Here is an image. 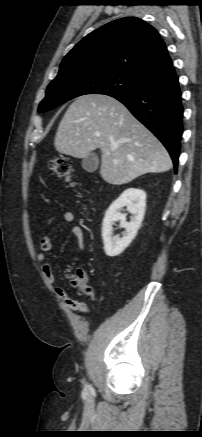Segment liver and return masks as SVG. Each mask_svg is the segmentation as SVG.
Masks as SVG:
<instances>
[{
	"label": "liver",
	"instance_id": "6515ba94",
	"mask_svg": "<svg viewBox=\"0 0 202 437\" xmlns=\"http://www.w3.org/2000/svg\"><path fill=\"white\" fill-rule=\"evenodd\" d=\"M54 145L58 152L75 158H85L99 148L100 175L113 185L172 167L161 142L122 103L107 95L76 98L58 126Z\"/></svg>",
	"mask_w": 202,
	"mask_h": 437
}]
</instances>
